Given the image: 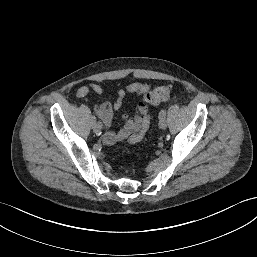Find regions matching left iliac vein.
I'll return each mask as SVG.
<instances>
[{"label": "left iliac vein", "instance_id": "1", "mask_svg": "<svg viewBox=\"0 0 257 257\" xmlns=\"http://www.w3.org/2000/svg\"><path fill=\"white\" fill-rule=\"evenodd\" d=\"M159 127H160L161 129H166V127H167V122H166V119H165V118L160 119V121H159Z\"/></svg>", "mask_w": 257, "mask_h": 257}]
</instances>
